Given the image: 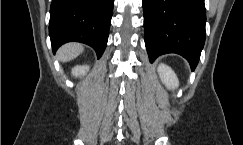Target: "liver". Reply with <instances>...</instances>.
Wrapping results in <instances>:
<instances>
[{
  "instance_id": "1",
  "label": "liver",
  "mask_w": 243,
  "mask_h": 145,
  "mask_svg": "<svg viewBox=\"0 0 243 145\" xmlns=\"http://www.w3.org/2000/svg\"><path fill=\"white\" fill-rule=\"evenodd\" d=\"M83 52V46L78 43H68L63 45L57 53L61 62H68L75 59Z\"/></svg>"
}]
</instances>
